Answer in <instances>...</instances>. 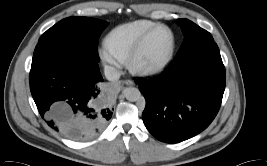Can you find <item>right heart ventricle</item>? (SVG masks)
Segmentation results:
<instances>
[{
  "mask_svg": "<svg viewBox=\"0 0 267 166\" xmlns=\"http://www.w3.org/2000/svg\"><path fill=\"white\" fill-rule=\"evenodd\" d=\"M156 25V22L150 20H136L119 25L109 33L107 43L121 61H126L141 37Z\"/></svg>",
  "mask_w": 267,
  "mask_h": 166,
  "instance_id": "1",
  "label": "right heart ventricle"
}]
</instances>
